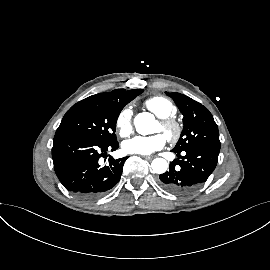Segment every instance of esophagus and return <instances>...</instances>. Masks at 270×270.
I'll use <instances>...</instances> for the list:
<instances>
[{"instance_id":"1","label":"esophagus","mask_w":270,"mask_h":270,"mask_svg":"<svg viewBox=\"0 0 270 270\" xmlns=\"http://www.w3.org/2000/svg\"><path fill=\"white\" fill-rule=\"evenodd\" d=\"M144 159H146V160H152L153 159V156H144Z\"/></svg>"}]
</instances>
